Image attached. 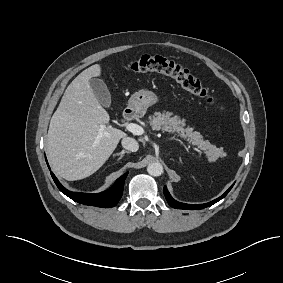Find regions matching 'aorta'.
<instances>
[{
    "label": "aorta",
    "mask_w": 283,
    "mask_h": 283,
    "mask_svg": "<svg viewBox=\"0 0 283 283\" xmlns=\"http://www.w3.org/2000/svg\"><path fill=\"white\" fill-rule=\"evenodd\" d=\"M147 172L155 177L161 176L163 174V166L158 163H150L147 167Z\"/></svg>",
    "instance_id": "1"
}]
</instances>
